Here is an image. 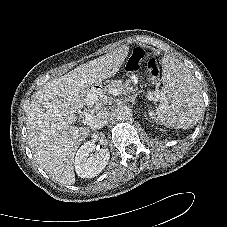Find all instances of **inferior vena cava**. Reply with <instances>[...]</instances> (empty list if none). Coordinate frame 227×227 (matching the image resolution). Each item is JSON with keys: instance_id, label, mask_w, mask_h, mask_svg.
<instances>
[{"instance_id": "1", "label": "inferior vena cava", "mask_w": 227, "mask_h": 227, "mask_svg": "<svg viewBox=\"0 0 227 227\" xmlns=\"http://www.w3.org/2000/svg\"><path fill=\"white\" fill-rule=\"evenodd\" d=\"M109 119V114L107 111H100L89 122V126L92 130H97L103 128L107 125Z\"/></svg>"}]
</instances>
